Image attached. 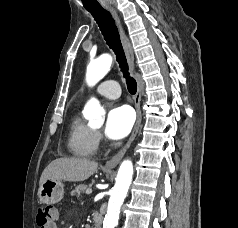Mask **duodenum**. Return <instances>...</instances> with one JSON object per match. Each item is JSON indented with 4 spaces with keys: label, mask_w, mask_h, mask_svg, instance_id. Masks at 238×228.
<instances>
[{
    "label": "duodenum",
    "mask_w": 238,
    "mask_h": 228,
    "mask_svg": "<svg viewBox=\"0 0 238 228\" xmlns=\"http://www.w3.org/2000/svg\"><path fill=\"white\" fill-rule=\"evenodd\" d=\"M92 220H93V228H101L103 216L100 213H93L92 214Z\"/></svg>",
    "instance_id": "410a0bca"
}]
</instances>
